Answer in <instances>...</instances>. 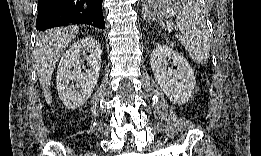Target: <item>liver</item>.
<instances>
[{
	"mask_svg": "<svg viewBox=\"0 0 261 156\" xmlns=\"http://www.w3.org/2000/svg\"><path fill=\"white\" fill-rule=\"evenodd\" d=\"M77 33L76 26L55 28L43 33L37 41L35 47L36 70L48 105L52 104L50 86L55 65Z\"/></svg>",
	"mask_w": 261,
	"mask_h": 156,
	"instance_id": "1",
	"label": "liver"
}]
</instances>
